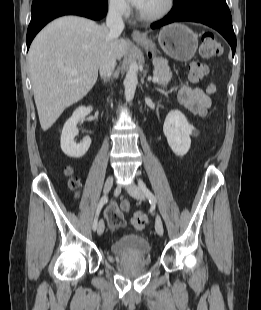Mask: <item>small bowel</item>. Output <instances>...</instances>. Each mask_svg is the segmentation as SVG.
<instances>
[{
    "label": "small bowel",
    "instance_id": "c3829d8e",
    "mask_svg": "<svg viewBox=\"0 0 261 310\" xmlns=\"http://www.w3.org/2000/svg\"><path fill=\"white\" fill-rule=\"evenodd\" d=\"M178 101L189 112L199 117H205L211 106L209 96L202 89L193 88L185 84H181L179 87ZM119 209L128 212L130 210L128 201L123 200Z\"/></svg>",
    "mask_w": 261,
    "mask_h": 310
}]
</instances>
